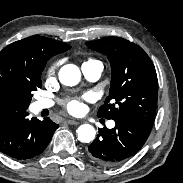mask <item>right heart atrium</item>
Wrapping results in <instances>:
<instances>
[{
  "label": "right heart atrium",
  "instance_id": "d8ad5b80",
  "mask_svg": "<svg viewBox=\"0 0 183 183\" xmlns=\"http://www.w3.org/2000/svg\"><path fill=\"white\" fill-rule=\"evenodd\" d=\"M56 68H57L56 63L51 64L46 70V76L48 78H52L54 76L55 72H56Z\"/></svg>",
  "mask_w": 183,
  "mask_h": 183
}]
</instances>
